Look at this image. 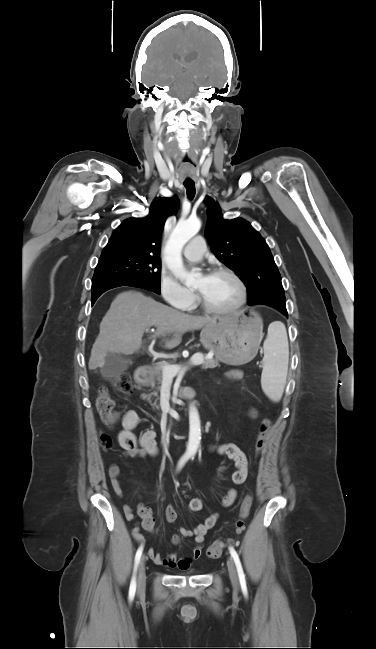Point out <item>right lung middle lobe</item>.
Instances as JSON below:
<instances>
[{"instance_id":"right-lung-middle-lobe-1","label":"right lung middle lobe","mask_w":376,"mask_h":649,"mask_svg":"<svg viewBox=\"0 0 376 649\" xmlns=\"http://www.w3.org/2000/svg\"><path fill=\"white\" fill-rule=\"evenodd\" d=\"M159 254L117 252L102 254L92 279V287L106 282L142 283L160 293Z\"/></svg>"}]
</instances>
